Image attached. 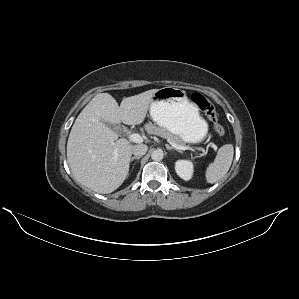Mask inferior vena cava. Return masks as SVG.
<instances>
[{
    "instance_id": "obj_1",
    "label": "inferior vena cava",
    "mask_w": 299,
    "mask_h": 299,
    "mask_svg": "<svg viewBox=\"0 0 299 299\" xmlns=\"http://www.w3.org/2000/svg\"><path fill=\"white\" fill-rule=\"evenodd\" d=\"M148 150V146L145 145V144H140V145H135L133 147V150H132V153L135 155V156H142V155H145L146 152Z\"/></svg>"
}]
</instances>
